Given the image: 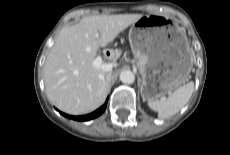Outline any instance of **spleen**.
<instances>
[{"label":"spleen","instance_id":"3e777b00","mask_svg":"<svg viewBox=\"0 0 230 155\" xmlns=\"http://www.w3.org/2000/svg\"><path fill=\"white\" fill-rule=\"evenodd\" d=\"M194 91V83L189 82L160 100L148 101V106L158 112L159 118H169L178 113L190 100Z\"/></svg>","mask_w":230,"mask_h":155}]
</instances>
